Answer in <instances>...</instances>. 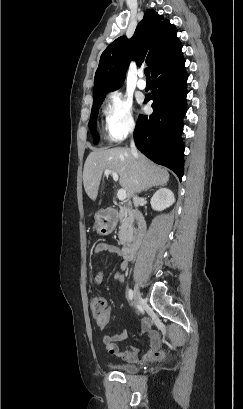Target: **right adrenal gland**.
<instances>
[{
	"instance_id": "right-adrenal-gland-1",
	"label": "right adrenal gland",
	"mask_w": 243,
	"mask_h": 409,
	"mask_svg": "<svg viewBox=\"0 0 243 409\" xmlns=\"http://www.w3.org/2000/svg\"><path fill=\"white\" fill-rule=\"evenodd\" d=\"M154 186H150L148 188L145 189V192H147L148 190H151Z\"/></svg>"
}]
</instances>
